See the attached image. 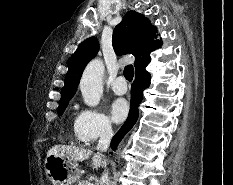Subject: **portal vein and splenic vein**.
<instances>
[{
    "mask_svg": "<svg viewBox=\"0 0 233 185\" xmlns=\"http://www.w3.org/2000/svg\"><path fill=\"white\" fill-rule=\"evenodd\" d=\"M87 185H94L93 183L88 182Z\"/></svg>",
    "mask_w": 233,
    "mask_h": 185,
    "instance_id": "portal-vein-and-splenic-vein-1",
    "label": "portal vein and splenic vein"
}]
</instances>
